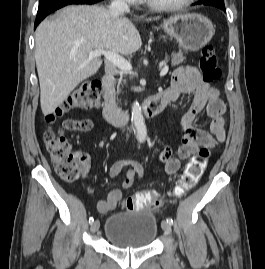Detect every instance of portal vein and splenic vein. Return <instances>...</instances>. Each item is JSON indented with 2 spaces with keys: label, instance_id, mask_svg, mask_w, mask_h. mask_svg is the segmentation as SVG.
Listing matches in <instances>:
<instances>
[{
  "label": "portal vein and splenic vein",
  "instance_id": "portal-vein-and-splenic-vein-1",
  "mask_svg": "<svg viewBox=\"0 0 265 269\" xmlns=\"http://www.w3.org/2000/svg\"><path fill=\"white\" fill-rule=\"evenodd\" d=\"M102 55L119 69L129 72L132 70L131 63L117 53L105 50H95L89 52L90 58H97L101 57ZM168 70H169L168 65H165L160 71V77L165 76L168 73Z\"/></svg>",
  "mask_w": 265,
  "mask_h": 269
}]
</instances>
